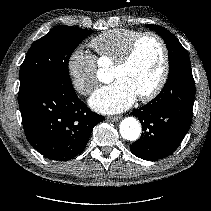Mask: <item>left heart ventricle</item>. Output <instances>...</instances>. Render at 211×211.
<instances>
[{"label": "left heart ventricle", "instance_id": "1", "mask_svg": "<svg viewBox=\"0 0 211 211\" xmlns=\"http://www.w3.org/2000/svg\"><path fill=\"white\" fill-rule=\"evenodd\" d=\"M162 70V49L153 38L143 39L129 65L113 67L112 80H123L136 92L137 96L149 92L157 83Z\"/></svg>", "mask_w": 211, "mask_h": 211}]
</instances>
